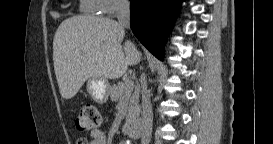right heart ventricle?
<instances>
[{
  "label": "right heart ventricle",
  "instance_id": "e07e8e85",
  "mask_svg": "<svg viewBox=\"0 0 273 144\" xmlns=\"http://www.w3.org/2000/svg\"><path fill=\"white\" fill-rule=\"evenodd\" d=\"M98 10L96 0H83L81 4V11L87 15H93Z\"/></svg>",
  "mask_w": 273,
  "mask_h": 144
}]
</instances>
